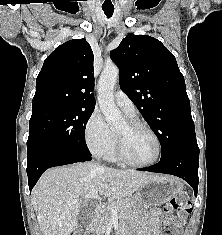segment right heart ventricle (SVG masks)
Here are the masks:
<instances>
[{
    "label": "right heart ventricle",
    "instance_id": "1",
    "mask_svg": "<svg viewBox=\"0 0 222 235\" xmlns=\"http://www.w3.org/2000/svg\"><path fill=\"white\" fill-rule=\"evenodd\" d=\"M106 157L110 160H113V161L118 160L117 155H116L115 144H114L113 148L108 152Z\"/></svg>",
    "mask_w": 222,
    "mask_h": 235
}]
</instances>
